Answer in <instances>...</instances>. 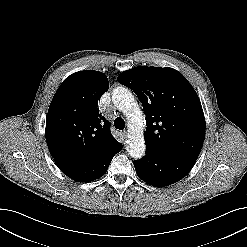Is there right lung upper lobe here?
Wrapping results in <instances>:
<instances>
[{"instance_id": "right-lung-upper-lobe-1", "label": "right lung upper lobe", "mask_w": 247, "mask_h": 247, "mask_svg": "<svg viewBox=\"0 0 247 247\" xmlns=\"http://www.w3.org/2000/svg\"><path fill=\"white\" fill-rule=\"evenodd\" d=\"M108 88L106 75L98 71L74 73L59 86L48 110L45 131L55 160L87 163L121 144L98 109V100Z\"/></svg>"}]
</instances>
